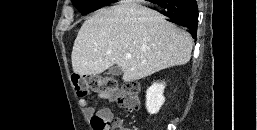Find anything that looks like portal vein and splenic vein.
I'll use <instances>...</instances> for the list:
<instances>
[{"mask_svg": "<svg viewBox=\"0 0 257 130\" xmlns=\"http://www.w3.org/2000/svg\"><path fill=\"white\" fill-rule=\"evenodd\" d=\"M126 58H127V59H131V58H132V55H131V54H126Z\"/></svg>", "mask_w": 257, "mask_h": 130, "instance_id": "portal-vein-and-splenic-vein-1", "label": "portal vein and splenic vein"}]
</instances>
